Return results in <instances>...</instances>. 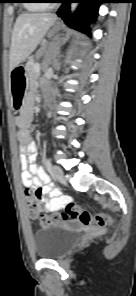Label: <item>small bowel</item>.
<instances>
[{
	"instance_id": "1",
	"label": "small bowel",
	"mask_w": 136,
	"mask_h": 296,
	"mask_svg": "<svg viewBox=\"0 0 136 296\" xmlns=\"http://www.w3.org/2000/svg\"><path fill=\"white\" fill-rule=\"evenodd\" d=\"M24 109L16 116V125L19 128L18 140L20 143V164L22 168V183L25 187L35 189L41 194L43 211L46 213L62 210L70 201L68 196L50 183V180L38 163L37 145L32 140L29 127L36 110L34 91L28 94Z\"/></svg>"
}]
</instances>
